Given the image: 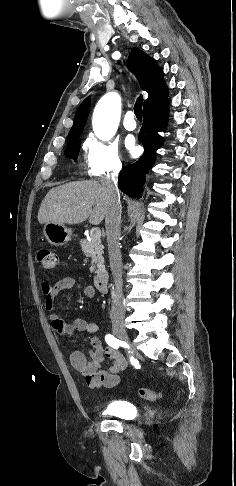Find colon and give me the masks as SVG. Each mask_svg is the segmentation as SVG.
I'll return each mask as SVG.
<instances>
[{"label": "colon", "instance_id": "5ec220e1", "mask_svg": "<svg viewBox=\"0 0 236 486\" xmlns=\"http://www.w3.org/2000/svg\"><path fill=\"white\" fill-rule=\"evenodd\" d=\"M37 259L40 262L41 266L46 271H53L58 266V257L57 255L51 251L50 249H41L37 254ZM139 395L141 398L149 401H157L161 398V393L148 389V388H140Z\"/></svg>", "mask_w": 236, "mask_h": 486}]
</instances>
